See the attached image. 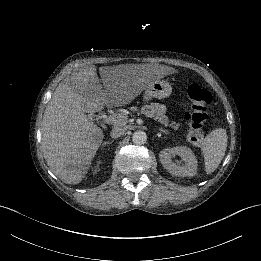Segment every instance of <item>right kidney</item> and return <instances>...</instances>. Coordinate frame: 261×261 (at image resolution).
Segmentation results:
<instances>
[{
	"instance_id": "1",
	"label": "right kidney",
	"mask_w": 261,
	"mask_h": 261,
	"mask_svg": "<svg viewBox=\"0 0 261 261\" xmlns=\"http://www.w3.org/2000/svg\"><path fill=\"white\" fill-rule=\"evenodd\" d=\"M98 171H99V169H96V170H95V172H98Z\"/></svg>"
}]
</instances>
